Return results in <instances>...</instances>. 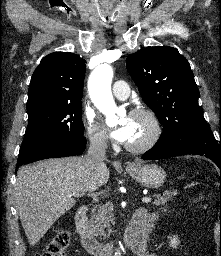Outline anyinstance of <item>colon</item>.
Returning a JSON list of instances; mask_svg holds the SVG:
<instances>
[{"label":"colon","mask_w":221,"mask_h":256,"mask_svg":"<svg viewBox=\"0 0 221 256\" xmlns=\"http://www.w3.org/2000/svg\"><path fill=\"white\" fill-rule=\"evenodd\" d=\"M70 242L69 232L61 230L47 243L41 252L36 254V256H67Z\"/></svg>","instance_id":"colon-1"}]
</instances>
